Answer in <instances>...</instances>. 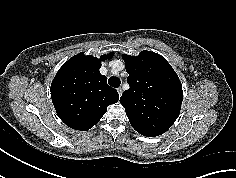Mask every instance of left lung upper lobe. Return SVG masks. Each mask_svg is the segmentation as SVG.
Listing matches in <instances>:
<instances>
[{
    "mask_svg": "<svg viewBox=\"0 0 236 178\" xmlns=\"http://www.w3.org/2000/svg\"><path fill=\"white\" fill-rule=\"evenodd\" d=\"M130 89L120 103L132 127L154 137L165 133L177 119L183 91L181 82L164 57L151 51L123 55Z\"/></svg>",
    "mask_w": 236,
    "mask_h": 178,
    "instance_id": "left-lung-upper-lobe-1",
    "label": "left lung upper lobe"
}]
</instances>
